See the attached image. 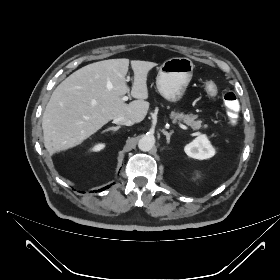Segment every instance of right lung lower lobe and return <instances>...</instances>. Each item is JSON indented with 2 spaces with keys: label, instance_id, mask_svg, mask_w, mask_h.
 <instances>
[{
  "label": "right lung lower lobe",
  "instance_id": "obj_1",
  "mask_svg": "<svg viewBox=\"0 0 280 280\" xmlns=\"http://www.w3.org/2000/svg\"><path fill=\"white\" fill-rule=\"evenodd\" d=\"M110 186L108 185L107 187H105L104 189H106V188H109ZM99 191H102V190H98V191H96V192H99Z\"/></svg>",
  "mask_w": 280,
  "mask_h": 280
}]
</instances>
